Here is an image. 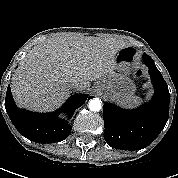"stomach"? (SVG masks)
Instances as JSON below:
<instances>
[{
  "mask_svg": "<svg viewBox=\"0 0 178 178\" xmlns=\"http://www.w3.org/2000/svg\"><path fill=\"white\" fill-rule=\"evenodd\" d=\"M133 55L127 47L122 48L114 59V68L97 81L98 89L105 97L124 101L134 95L136 87L124 71L128 69Z\"/></svg>",
  "mask_w": 178,
  "mask_h": 178,
  "instance_id": "1",
  "label": "stomach"
}]
</instances>
